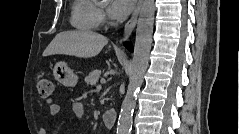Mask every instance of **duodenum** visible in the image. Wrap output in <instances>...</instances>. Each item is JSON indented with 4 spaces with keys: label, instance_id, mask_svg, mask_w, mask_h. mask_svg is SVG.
<instances>
[{
    "label": "duodenum",
    "instance_id": "obj_1",
    "mask_svg": "<svg viewBox=\"0 0 239 134\" xmlns=\"http://www.w3.org/2000/svg\"><path fill=\"white\" fill-rule=\"evenodd\" d=\"M103 123L107 128H112L116 122V112L114 109H108L103 114Z\"/></svg>",
    "mask_w": 239,
    "mask_h": 134
}]
</instances>
